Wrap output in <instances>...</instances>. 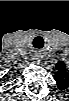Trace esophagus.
<instances>
[{
	"label": "esophagus",
	"mask_w": 69,
	"mask_h": 101,
	"mask_svg": "<svg viewBox=\"0 0 69 101\" xmlns=\"http://www.w3.org/2000/svg\"><path fill=\"white\" fill-rule=\"evenodd\" d=\"M34 60H36V62H40V58L38 55L35 56Z\"/></svg>",
	"instance_id": "esophagus-1"
}]
</instances>
